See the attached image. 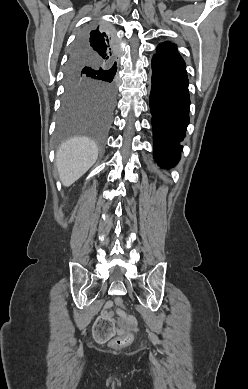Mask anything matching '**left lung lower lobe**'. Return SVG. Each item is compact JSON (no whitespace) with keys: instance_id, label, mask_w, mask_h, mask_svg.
<instances>
[{"instance_id":"left-lung-lower-lobe-1","label":"left lung lower lobe","mask_w":248,"mask_h":389,"mask_svg":"<svg viewBox=\"0 0 248 389\" xmlns=\"http://www.w3.org/2000/svg\"><path fill=\"white\" fill-rule=\"evenodd\" d=\"M152 113L154 158L163 168H170L180 159L189 124L190 97L186 65L176 45L162 43L152 59Z\"/></svg>"}]
</instances>
